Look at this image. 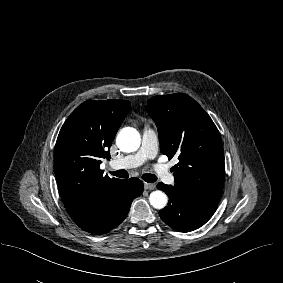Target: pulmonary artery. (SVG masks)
Wrapping results in <instances>:
<instances>
[{
    "label": "pulmonary artery",
    "instance_id": "obj_1",
    "mask_svg": "<svg viewBox=\"0 0 283 283\" xmlns=\"http://www.w3.org/2000/svg\"><path fill=\"white\" fill-rule=\"evenodd\" d=\"M158 149V138L156 132L146 127L142 133L141 147L132 155L115 159L110 162L113 169L135 168L146 161L155 158ZM154 170L159 178L168 184H174V178L168 167L164 164H156Z\"/></svg>",
    "mask_w": 283,
    "mask_h": 283
}]
</instances>
